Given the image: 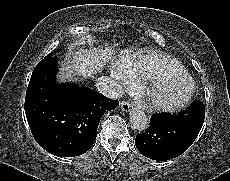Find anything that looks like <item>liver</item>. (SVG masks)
<instances>
[{
	"instance_id": "6515ba94",
	"label": "liver",
	"mask_w": 230,
	"mask_h": 181,
	"mask_svg": "<svg viewBox=\"0 0 230 181\" xmlns=\"http://www.w3.org/2000/svg\"><path fill=\"white\" fill-rule=\"evenodd\" d=\"M104 50L76 48L62 63L64 78H88L101 70L106 62Z\"/></svg>"
}]
</instances>
